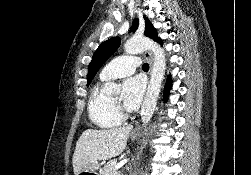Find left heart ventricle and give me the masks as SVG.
Returning a JSON list of instances; mask_svg holds the SVG:
<instances>
[{"label": "left heart ventricle", "instance_id": "left-heart-ventricle-1", "mask_svg": "<svg viewBox=\"0 0 251 175\" xmlns=\"http://www.w3.org/2000/svg\"><path fill=\"white\" fill-rule=\"evenodd\" d=\"M113 105H117L119 102V97L114 98L112 101H110Z\"/></svg>", "mask_w": 251, "mask_h": 175}]
</instances>
